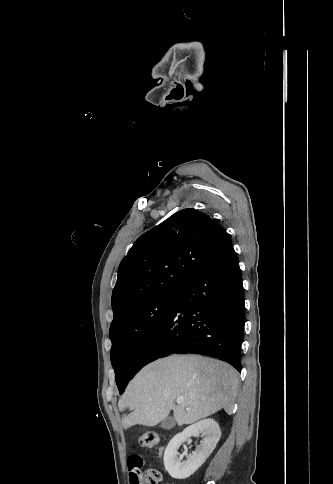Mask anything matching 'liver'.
Instances as JSON below:
<instances>
[{"label":"liver","instance_id":"1","mask_svg":"<svg viewBox=\"0 0 333 484\" xmlns=\"http://www.w3.org/2000/svg\"><path fill=\"white\" fill-rule=\"evenodd\" d=\"M237 371L229 364L202 356H169L145 366L119 399L124 429L140 424L153 427L173 410L179 426L192 424L224 409L233 413ZM182 397L180 404H175Z\"/></svg>","mask_w":333,"mask_h":484}]
</instances>
